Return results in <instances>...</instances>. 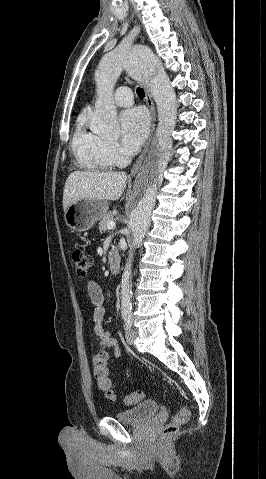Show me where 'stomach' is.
I'll return each instance as SVG.
<instances>
[{"label":"stomach","instance_id":"stomach-1","mask_svg":"<svg viewBox=\"0 0 266 479\" xmlns=\"http://www.w3.org/2000/svg\"><path fill=\"white\" fill-rule=\"evenodd\" d=\"M108 210L105 201L97 199H80L72 203L64 213L67 226L77 232L89 230Z\"/></svg>","mask_w":266,"mask_h":479}]
</instances>
